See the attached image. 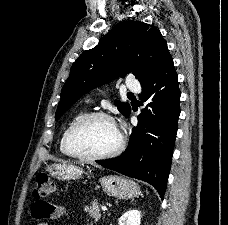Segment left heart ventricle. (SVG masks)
Wrapping results in <instances>:
<instances>
[{"instance_id": "left-heart-ventricle-1", "label": "left heart ventricle", "mask_w": 228, "mask_h": 225, "mask_svg": "<svg viewBox=\"0 0 228 225\" xmlns=\"http://www.w3.org/2000/svg\"><path fill=\"white\" fill-rule=\"evenodd\" d=\"M74 147L86 154H103L118 145L116 127L104 119H93L83 125L74 137Z\"/></svg>"}]
</instances>
